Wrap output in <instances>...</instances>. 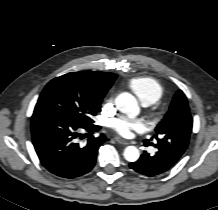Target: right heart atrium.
I'll return each instance as SVG.
<instances>
[{
  "instance_id": "obj_1",
  "label": "right heart atrium",
  "mask_w": 218,
  "mask_h": 210,
  "mask_svg": "<svg viewBox=\"0 0 218 210\" xmlns=\"http://www.w3.org/2000/svg\"><path fill=\"white\" fill-rule=\"evenodd\" d=\"M111 101H112V100H111V99H109V100L107 101V103H108V104H110V103H111Z\"/></svg>"
}]
</instances>
